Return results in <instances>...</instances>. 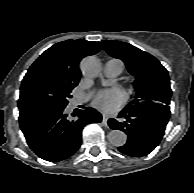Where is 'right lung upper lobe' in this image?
<instances>
[{
  "label": "right lung upper lobe",
  "instance_id": "obj_1",
  "mask_svg": "<svg viewBox=\"0 0 194 193\" xmlns=\"http://www.w3.org/2000/svg\"><path fill=\"white\" fill-rule=\"evenodd\" d=\"M100 42L67 40L46 50L29 68L22 80L19 101L30 98L39 84L49 81L76 86L81 72L78 64L86 55L100 51Z\"/></svg>",
  "mask_w": 194,
  "mask_h": 193
}]
</instances>
